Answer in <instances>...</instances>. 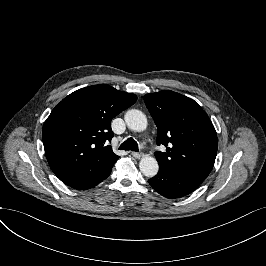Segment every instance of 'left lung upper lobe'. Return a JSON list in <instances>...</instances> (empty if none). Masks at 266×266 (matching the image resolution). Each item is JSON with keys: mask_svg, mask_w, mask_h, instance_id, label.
Here are the masks:
<instances>
[{"mask_svg": "<svg viewBox=\"0 0 266 266\" xmlns=\"http://www.w3.org/2000/svg\"><path fill=\"white\" fill-rule=\"evenodd\" d=\"M144 101L158 128L156 142L167 147V152H155L159 166L202 183L213 168L218 147L205 111L170 90L146 94Z\"/></svg>", "mask_w": 266, "mask_h": 266, "instance_id": "obj_1", "label": "left lung upper lobe"}]
</instances>
